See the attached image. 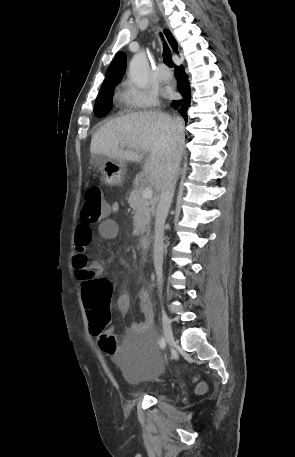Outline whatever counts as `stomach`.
Here are the masks:
<instances>
[{
    "label": "stomach",
    "instance_id": "1",
    "mask_svg": "<svg viewBox=\"0 0 295 457\" xmlns=\"http://www.w3.org/2000/svg\"><path fill=\"white\" fill-rule=\"evenodd\" d=\"M102 159L101 155L96 156ZM125 161L112 158H104L100 164V170L103 175L104 183L109 186H119L123 183L125 177Z\"/></svg>",
    "mask_w": 295,
    "mask_h": 457
}]
</instances>
